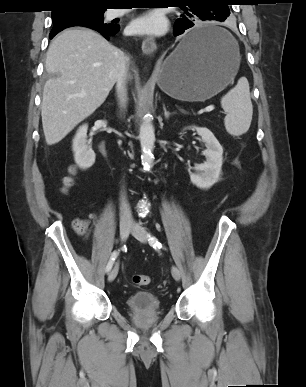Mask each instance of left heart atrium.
Returning a JSON list of instances; mask_svg holds the SVG:
<instances>
[{
    "mask_svg": "<svg viewBox=\"0 0 306 387\" xmlns=\"http://www.w3.org/2000/svg\"><path fill=\"white\" fill-rule=\"evenodd\" d=\"M164 18L157 13H149L134 19L129 30L135 34H161L165 31Z\"/></svg>",
    "mask_w": 306,
    "mask_h": 387,
    "instance_id": "39dd6f15",
    "label": "left heart atrium"
}]
</instances>
